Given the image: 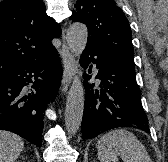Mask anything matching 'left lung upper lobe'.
Segmentation results:
<instances>
[{
  "label": "left lung upper lobe",
  "instance_id": "5c2ea615",
  "mask_svg": "<svg viewBox=\"0 0 168 162\" xmlns=\"http://www.w3.org/2000/svg\"><path fill=\"white\" fill-rule=\"evenodd\" d=\"M70 20L87 25V46L96 47L134 69L131 29L115 1L78 0Z\"/></svg>",
  "mask_w": 168,
  "mask_h": 162
}]
</instances>
